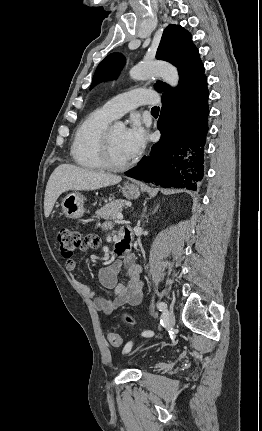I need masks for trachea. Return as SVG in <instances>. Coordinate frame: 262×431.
Here are the masks:
<instances>
[{
    "mask_svg": "<svg viewBox=\"0 0 262 431\" xmlns=\"http://www.w3.org/2000/svg\"><path fill=\"white\" fill-rule=\"evenodd\" d=\"M151 112H152V114H154V113H159V107H156V106H154L153 108H152V110H151Z\"/></svg>",
    "mask_w": 262,
    "mask_h": 431,
    "instance_id": "3493384b",
    "label": "trachea"
}]
</instances>
